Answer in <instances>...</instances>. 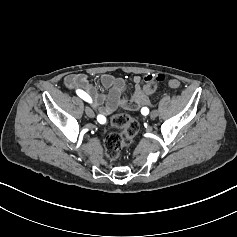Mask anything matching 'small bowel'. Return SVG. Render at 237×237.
Instances as JSON below:
<instances>
[{"label":"small bowel","instance_id":"1","mask_svg":"<svg viewBox=\"0 0 237 237\" xmlns=\"http://www.w3.org/2000/svg\"><path fill=\"white\" fill-rule=\"evenodd\" d=\"M153 78L152 75L145 76L144 80L148 81ZM143 79L140 76H136L134 79L135 93L130 100H124L121 98V94L124 87L122 79L117 78L110 74H102L100 76V84L103 88L108 90L107 94L99 93L95 85L84 74H70L64 79V83L67 88L85 92L91 99V104L102 116L113 113L118 106L122 105L127 108L138 110L142 106L149 104V98L144 94L142 90ZM179 81L172 79L169 81L171 88L179 87Z\"/></svg>","mask_w":237,"mask_h":237}]
</instances>
